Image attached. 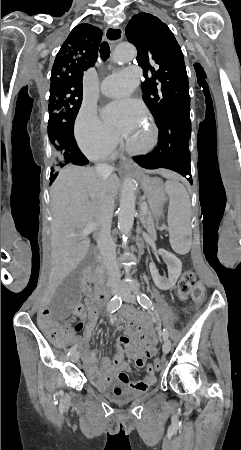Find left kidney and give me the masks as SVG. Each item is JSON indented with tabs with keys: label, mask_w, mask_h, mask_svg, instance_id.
Instances as JSON below:
<instances>
[{
	"label": "left kidney",
	"mask_w": 241,
	"mask_h": 450,
	"mask_svg": "<svg viewBox=\"0 0 241 450\" xmlns=\"http://www.w3.org/2000/svg\"><path fill=\"white\" fill-rule=\"evenodd\" d=\"M158 254L159 256H162L165 264H167L168 278H162L154 264H150L149 266L151 276L154 284H156L159 290H170V288L175 286L182 272V262H180L179 258H176L174 254H170V252H166V250H158Z\"/></svg>",
	"instance_id": "1"
}]
</instances>
